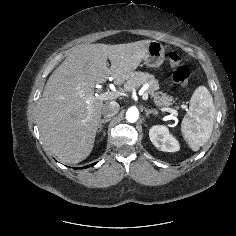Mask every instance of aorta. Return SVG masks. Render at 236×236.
Returning <instances> with one entry per match:
<instances>
[{"label": "aorta", "instance_id": "aorta-1", "mask_svg": "<svg viewBox=\"0 0 236 236\" xmlns=\"http://www.w3.org/2000/svg\"><path fill=\"white\" fill-rule=\"evenodd\" d=\"M139 111L137 108L131 107L126 112V120L130 123H134L138 120Z\"/></svg>", "mask_w": 236, "mask_h": 236}]
</instances>
